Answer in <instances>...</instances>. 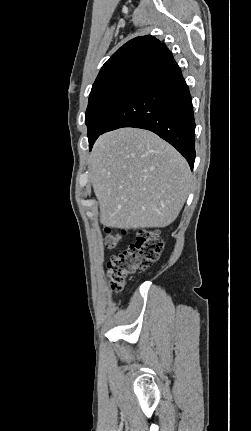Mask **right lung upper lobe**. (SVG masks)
Here are the masks:
<instances>
[{
    "label": "right lung upper lobe",
    "instance_id": "right-lung-upper-lobe-1",
    "mask_svg": "<svg viewBox=\"0 0 251 431\" xmlns=\"http://www.w3.org/2000/svg\"><path fill=\"white\" fill-rule=\"evenodd\" d=\"M161 49L168 50L164 43L153 36H140L128 41L103 65L94 83L125 65L141 61L149 62Z\"/></svg>",
    "mask_w": 251,
    "mask_h": 431
}]
</instances>
